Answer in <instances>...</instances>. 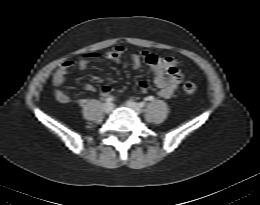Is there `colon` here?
<instances>
[{"instance_id": "1", "label": "colon", "mask_w": 260, "mask_h": 205, "mask_svg": "<svg viewBox=\"0 0 260 205\" xmlns=\"http://www.w3.org/2000/svg\"><path fill=\"white\" fill-rule=\"evenodd\" d=\"M182 90L186 93H194L197 90V87L193 82H185L182 85Z\"/></svg>"}]
</instances>
